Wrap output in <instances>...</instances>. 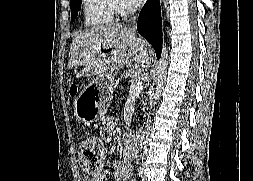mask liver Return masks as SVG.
<instances>
[{
    "label": "liver",
    "instance_id": "liver-1",
    "mask_svg": "<svg viewBox=\"0 0 253 181\" xmlns=\"http://www.w3.org/2000/svg\"><path fill=\"white\" fill-rule=\"evenodd\" d=\"M152 50L135 31L119 23L94 26L80 32L69 51L68 68L82 67L76 78L114 74L124 65L138 74L147 69Z\"/></svg>",
    "mask_w": 253,
    "mask_h": 181
}]
</instances>
